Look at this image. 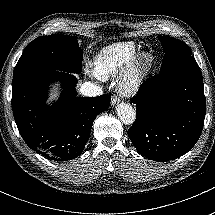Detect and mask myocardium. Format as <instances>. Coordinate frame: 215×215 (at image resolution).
<instances>
[{
	"label": "myocardium",
	"instance_id": "f54148a6",
	"mask_svg": "<svg viewBox=\"0 0 215 215\" xmlns=\"http://www.w3.org/2000/svg\"><path fill=\"white\" fill-rule=\"evenodd\" d=\"M153 61V55L149 50H141L136 53L119 81V91L123 95L134 94L143 84L145 70Z\"/></svg>",
	"mask_w": 215,
	"mask_h": 215
}]
</instances>
